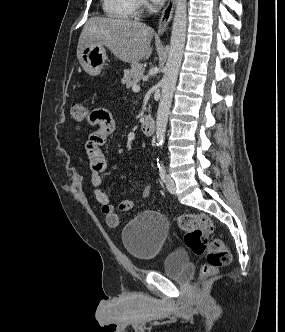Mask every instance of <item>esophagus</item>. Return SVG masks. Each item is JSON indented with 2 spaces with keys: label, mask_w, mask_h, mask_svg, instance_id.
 Wrapping results in <instances>:
<instances>
[{
  "label": "esophagus",
  "mask_w": 285,
  "mask_h": 332,
  "mask_svg": "<svg viewBox=\"0 0 285 332\" xmlns=\"http://www.w3.org/2000/svg\"><path fill=\"white\" fill-rule=\"evenodd\" d=\"M176 0H168L167 5L162 11L161 17L159 19L158 31L157 34L162 36L168 29V25L172 19L173 11L175 7Z\"/></svg>",
  "instance_id": "1"
}]
</instances>
